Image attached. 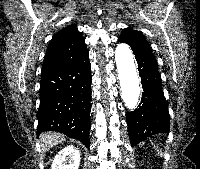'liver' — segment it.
Segmentation results:
<instances>
[{"label": "liver", "mask_w": 200, "mask_h": 169, "mask_svg": "<svg viewBox=\"0 0 200 169\" xmlns=\"http://www.w3.org/2000/svg\"><path fill=\"white\" fill-rule=\"evenodd\" d=\"M65 136L58 132H45L40 135L42 152H46L55 145L62 143Z\"/></svg>", "instance_id": "6515ba94"}]
</instances>
